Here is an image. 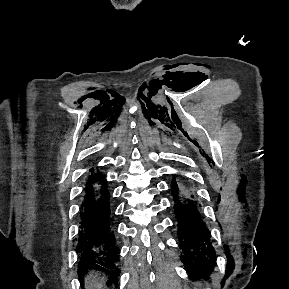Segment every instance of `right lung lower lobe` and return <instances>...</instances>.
Masks as SVG:
<instances>
[{
    "mask_svg": "<svg viewBox=\"0 0 289 289\" xmlns=\"http://www.w3.org/2000/svg\"><path fill=\"white\" fill-rule=\"evenodd\" d=\"M82 219L77 252L81 254L78 273L99 269L110 275V283L117 284L120 274L115 226L110 194L101 173L89 176L80 208Z\"/></svg>",
    "mask_w": 289,
    "mask_h": 289,
    "instance_id": "98d812e1",
    "label": "right lung lower lobe"
}]
</instances>
